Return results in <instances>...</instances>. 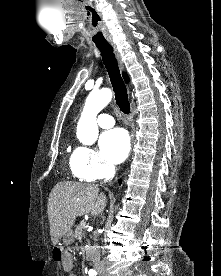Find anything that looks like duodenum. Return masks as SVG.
Returning <instances> with one entry per match:
<instances>
[{
    "mask_svg": "<svg viewBox=\"0 0 221 276\" xmlns=\"http://www.w3.org/2000/svg\"><path fill=\"white\" fill-rule=\"evenodd\" d=\"M89 254H90V251H89V250H87V256H89Z\"/></svg>",
    "mask_w": 221,
    "mask_h": 276,
    "instance_id": "1",
    "label": "duodenum"
}]
</instances>
